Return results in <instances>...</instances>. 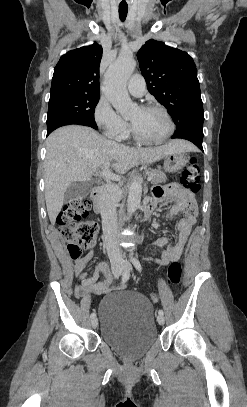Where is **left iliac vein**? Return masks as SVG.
I'll list each match as a JSON object with an SVG mask.
<instances>
[{
    "instance_id": "4c4485c4",
    "label": "left iliac vein",
    "mask_w": 247,
    "mask_h": 407,
    "mask_svg": "<svg viewBox=\"0 0 247 407\" xmlns=\"http://www.w3.org/2000/svg\"><path fill=\"white\" fill-rule=\"evenodd\" d=\"M123 267H124V268H129L130 270L132 269V266H131V264H130L129 262H124ZM157 321H158V323H159L160 325H163V324L165 323V318H164V316H163V315H158Z\"/></svg>"
}]
</instances>
